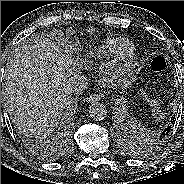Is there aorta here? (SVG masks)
<instances>
[{"label":"aorta","mask_w":184,"mask_h":184,"mask_svg":"<svg viewBox=\"0 0 184 184\" xmlns=\"http://www.w3.org/2000/svg\"><path fill=\"white\" fill-rule=\"evenodd\" d=\"M89 115L94 121H101L106 118L107 108L103 103L94 102L89 106Z\"/></svg>","instance_id":"obj_1"}]
</instances>
